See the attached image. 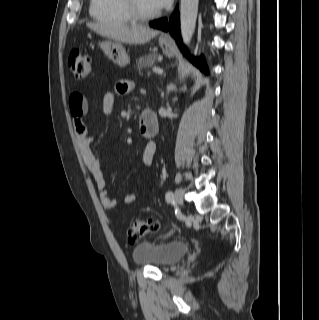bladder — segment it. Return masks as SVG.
Segmentation results:
<instances>
[{"label":"bladder","instance_id":"bladder-1","mask_svg":"<svg viewBox=\"0 0 319 320\" xmlns=\"http://www.w3.org/2000/svg\"><path fill=\"white\" fill-rule=\"evenodd\" d=\"M188 246L178 241L145 240L138 243L133 251V261L138 265L165 268L179 262L187 253Z\"/></svg>","mask_w":319,"mask_h":320}]
</instances>
